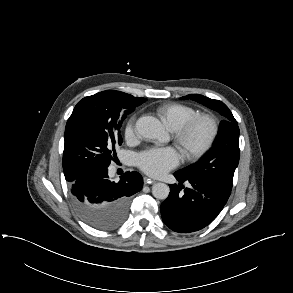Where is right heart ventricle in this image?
Listing matches in <instances>:
<instances>
[{"label": "right heart ventricle", "instance_id": "e07e8e85", "mask_svg": "<svg viewBox=\"0 0 293 293\" xmlns=\"http://www.w3.org/2000/svg\"><path fill=\"white\" fill-rule=\"evenodd\" d=\"M157 112L165 125L172 131L199 114V111L194 107L176 102L160 105Z\"/></svg>", "mask_w": 293, "mask_h": 293}]
</instances>
